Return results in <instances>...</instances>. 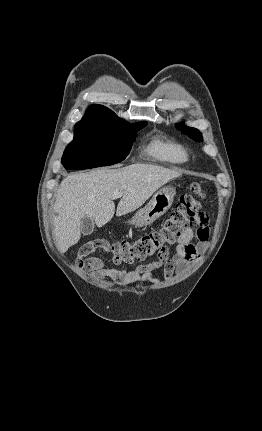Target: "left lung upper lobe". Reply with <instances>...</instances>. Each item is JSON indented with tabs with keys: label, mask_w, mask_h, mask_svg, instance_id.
Wrapping results in <instances>:
<instances>
[{
	"label": "left lung upper lobe",
	"mask_w": 262,
	"mask_h": 431,
	"mask_svg": "<svg viewBox=\"0 0 262 431\" xmlns=\"http://www.w3.org/2000/svg\"><path fill=\"white\" fill-rule=\"evenodd\" d=\"M176 127L179 130H181L183 133L187 134L193 140L199 141V142L202 141V136L197 129L187 127L184 124H176Z\"/></svg>",
	"instance_id": "1"
}]
</instances>
